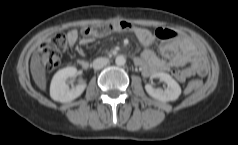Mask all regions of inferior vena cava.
I'll return each mask as SVG.
<instances>
[{
    "instance_id": "obj_1",
    "label": "inferior vena cava",
    "mask_w": 238,
    "mask_h": 145,
    "mask_svg": "<svg viewBox=\"0 0 238 145\" xmlns=\"http://www.w3.org/2000/svg\"><path fill=\"white\" fill-rule=\"evenodd\" d=\"M108 62H109L108 58L99 57L93 61L92 66L95 70H99V69H102L104 66H106Z\"/></svg>"
}]
</instances>
